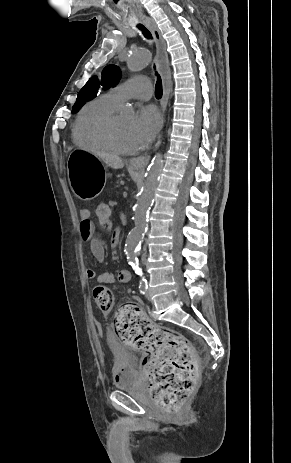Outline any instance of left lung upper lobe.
<instances>
[{
	"label": "left lung upper lobe",
	"mask_w": 291,
	"mask_h": 463,
	"mask_svg": "<svg viewBox=\"0 0 291 463\" xmlns=\"http://www.w3.org/2000/svg\"><path fill=\"white\" fill-rule=\"evenodd\" d=\"M120 70L115 65H108L102 71L101 78L97 76L91 77L85 86L79 91L75 105L72 111H78L86 101H89L96 97L98 91L107 89L117 84L120 79Z\"/></svg>",
	"instance_id": "5c2ea615"
}]
</instances>
